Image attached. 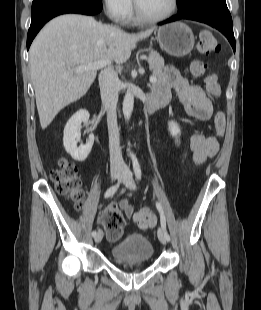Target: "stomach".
I'll list each match as a JSON object with an SVG mask.
<instances>
[{
  "instance_id": "stomach-1",
  "label": "stomach",
  "mask_w": 261,
  "mask_h": 310,
  "mask_svg": "<svg viewBox=\"0 0 261 310\" xmlns=\"http://www.w3.org/2000/svg\"><path fill=\"white\" fill-rule=\"evenodd\" d=\"M157 41L166 53L175 57H183L192 51L195 38L188 25L174 22L158 29Z\"/></svg>"
}]
</instances>
